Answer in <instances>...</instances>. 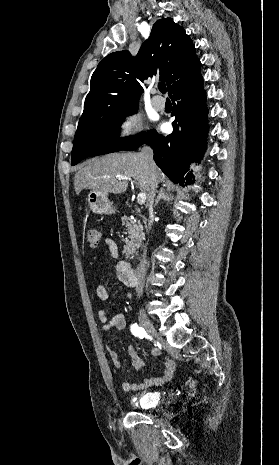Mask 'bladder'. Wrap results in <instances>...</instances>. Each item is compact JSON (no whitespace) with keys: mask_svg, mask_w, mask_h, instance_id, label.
Instances as JSON below:
<instances>
[{"mask_svg":"<svg viewBox=\"0 0 279 465\" xmlns=\"http://www.w3.org/2000/svg\"><path fill=\"white\" fill-rule=\"evenodd\" d=\"M161 401V395L158 392H144L133 397L132 404L139 409H149Z\"/></svg>","mask_w":279,"mask_h":465,"instance_id":"bladder-1","label":"bladder"}]
</instances>
